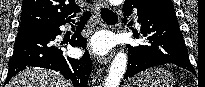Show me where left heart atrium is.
Masks as SVG:
<instances>
[{
	"mask_svg": "<svg viewBox=\"0 0 205 87\" xmlns=\"http://www.w3.org/2000/svg\"><path fill=\"white\" fill-rule=\"evenodd\" d=\"M107 47V42L102 38L98 37L93 42V48L97 52H103Z\"/></svg>",
	"mask_w": 205,
	"mask_h": 87,
	"instance_id": "1",
	"label": "left heart atrium"
}]
</instances>
